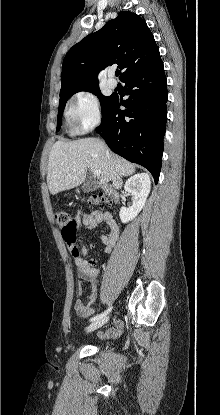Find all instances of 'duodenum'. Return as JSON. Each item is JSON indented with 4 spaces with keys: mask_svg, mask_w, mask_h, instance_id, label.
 I'll return each instance as SVG.
<instances>
[{
    "mask_svg": "<svg viewBox=\"0 0 220 415\" xmlns=\"http://www.w3.org/2000/svg\"><path fill=\"white\" fill-rule=\"evenodd\" d=\"M102 189L104 191H106L107 193H109L110 195H112V196L117 195L116 190L114 188L110 187V186H104Z\"/></svg>",
    "mask_w": 220,
    "mask_h": 415,
    "instance_id": "410a0bca",
    "label": "duodenum"
}]
</instances>
